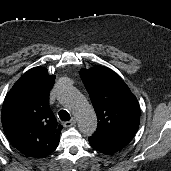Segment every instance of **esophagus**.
I'll list each match as a JSON object with an SVG mask.
<instances>
[{"label":"esophagus","mask_w":171,"mask_h":171,"mask_svg":"<svg viewBox=\"0 0 171 171\" xmlns=\"http://www.w3.org/2000/svg\"><path fill=\"white\" fill-rule=\"evenodd\" d=\"M75 124H76V118L75 117H73L70 121L63 123L64 127H71Z\"/></svg>","instance_id":"esophagus-1"}]
</instances>
